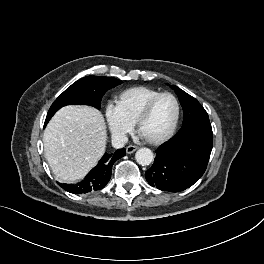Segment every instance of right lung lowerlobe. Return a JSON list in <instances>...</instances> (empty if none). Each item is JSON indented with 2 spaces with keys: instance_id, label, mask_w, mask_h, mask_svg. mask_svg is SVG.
Wrapping results in <instances>:
<instances>
[{
  "instance_id": "right-lung-lower-lobe-1",
  "label": "right lung lower lobe",
  "mask_w": 264,
  "mask_h": 264,
  "mask_svg": "<svg viewBox=\"0 0 264 264\" xmlns=\"http://www.w3.org/2000/svg\"><path fill=\"white\" fill-rule=\"evenodd\" d=\"M46 125V123H45ZM126 154L125 149H118L115 153L104 154L97 166L88 175L76 184L58 183L64 190L74 194H84L100 190L109 182L114 162Z\"/></svg>"
}]
</instances>
